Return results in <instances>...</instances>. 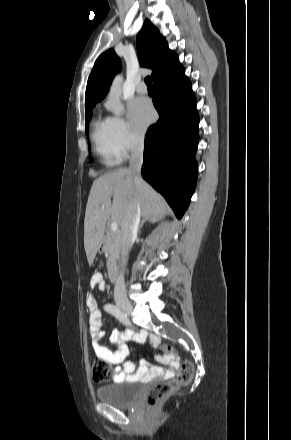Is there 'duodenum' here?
<instances>
[{"label":"duodenum","instance_id":"duodenum-1","mask_svg":"<svg viewBox=\"0 0 291 440\" xmlns=\"http://www.w3.org/2000/svg\"><path fill=\"white\" fill-rule=\"evenodd\" d=\"M108 276L112 282H116L118 279V273L115 265L111 264L108 269Z\"/></svg>","mask_w":291,"mask_h":440}]
</instances>
